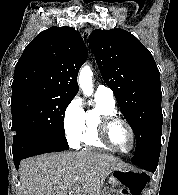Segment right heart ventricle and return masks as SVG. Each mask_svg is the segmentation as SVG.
I'll use <instances>...</instances> for the list:
<instances>
[{
  "label": "right heart ventricle",
  "mask_w": 178,
  "mask_h": 195,
  "mask_svg": "<svg viewBox=\"0 0 178 195\" xmlns=\"http://www.w3.org/2000/svg\"><path fill=\"white\" fill-rule=\"evenodd\" d=\"M95 100V107L85 112V129L81 142L87 147L109 149L100 141L98 129L103 116L116 115V104L97 95Z\"/></svg>",
  "instance_id": "1"
}]
</instances>
